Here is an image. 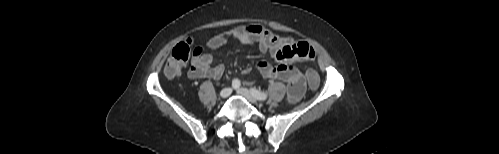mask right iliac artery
<instances>
[{
	"label": "right iliac artery",
	"mask_w": 499,
	"mask_h": 154,
	"mask_svg": "<svg viewBox=\"0 0 499 154\" xmlns=\"http://www.w3.org/2000/svg\"><path fill=\"white\" fill-rule=\"evenodd\" d=\"M239 86H240V81L238 79H234L232 81V88L237 89V88H239Z\"/></svg>",
	"instance_id": "1"
}]
</instances>
